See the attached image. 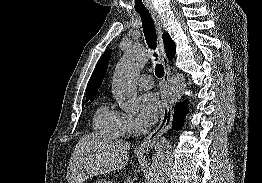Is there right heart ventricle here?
<instances>
[{"instance_id":"e07e8e85","label":"right heart ventricle","mask_w":262,"mask_h":183,"mask_svg":"<svg viewBox=\"0 0 262 183\" xmlns=\"http://www.w3.org/2000/svg\"><path fill=\"white\" fill-rule=\"evenodd\" d=\"M93 128L97 132L111 137H122L126 134L123 113L107 104H102L96 109L93 117Z\"/></svg>"}]
</instances>
